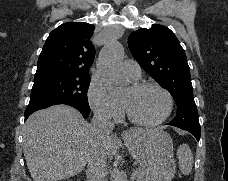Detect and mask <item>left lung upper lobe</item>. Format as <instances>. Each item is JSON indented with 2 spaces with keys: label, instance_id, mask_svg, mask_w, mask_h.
Masks as SVG:
<instances>
[{
  "label": "left lung upper lobe",
  "instance_id": "1",
  "mask_svg": "<svg viewBox=\"0 0 228 181\" xmlns=\"http://www.w3.org/2000/svg\"><path fill=\"white\" fill-rule=\"evenodd\" d=\"M129 49L140 66L173 96L177 113L169 125L181 129L200 128L193 97L190 68L174 33L162 25L134 31Z\"/></svg>",
  "mask_w": 228,
  "mask_h": 181
}]
</instances>
